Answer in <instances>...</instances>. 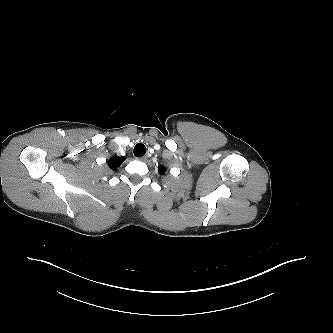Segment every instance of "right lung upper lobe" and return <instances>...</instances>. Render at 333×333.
<instances>
[{
  "instance_id": "right-lung-upper-lobe-1",
  "label": "right lung upper lobe",
  "mask_w": 333,
  "mask_h": 333,
  "mask_svg": "<svg viewBox=\"0 0 333 333\" xmlns=\"http://www.w3.org/2000/svg\"><path fill=\"white\" fill-rule=\"evenodd\" d=\"M125 160V157L113 156L108 161V165L112 170L117 169Z\"/></svg>"
}]
</instances>
